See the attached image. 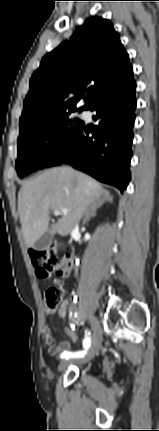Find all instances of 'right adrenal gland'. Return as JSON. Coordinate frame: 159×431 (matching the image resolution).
I'll list each match as a JSON object with an SVG mask.
<instances>
[{
	"instance_id": "2a0ac1e0",
	"label": "right adrenal gland",
	"mask_w": 159,
	"mask_h": 431,
	"mask_svg": "<svg viewBox=\"0 0 159 431\" xmlns=\"http://www.w3.org/2000/svg\"><path fill=\"white\" fill-rule=\"evenodd\" d=\"M104 202H110V203L113 202L112 196H110L109 194H105V195H103L102 199H99L94 204H92L88 208V211L85 215L83 223L88 222L91 217L95 216L97 209L100 208L104 204Z\"/></svg>"
}]
</instances>
